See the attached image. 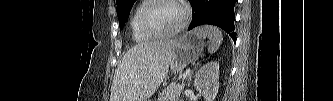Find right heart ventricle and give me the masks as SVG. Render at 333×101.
Masks as SVG:
<instances>
[{
    "label": "right heart ventricle",
    "instance_id": "obj_1",
    "mask_svg": "<svg viewBox=\"0 0 333 101\" xmlns=\"http://www.w3.org/2000/svg\"><path fill=\"white\" fill-rule=\"evenodd\" d=\"M148 3L149 1H142L140 4H138L136 8L133 10L130 17L129 25H130L131 36L133 40L138 43L148 42L153 39L152 36L144 32L140 24L141 14L145 9V7L148 5Z\"/></svg>",
    "mask_w": 333,
    "mask_h": 101
}]
</instances>
